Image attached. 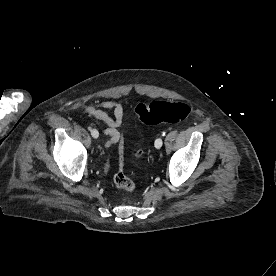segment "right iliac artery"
<instances>
[{
    "label": "right iliac artery",
    "instance_id": "obj_1",
    "mask_svg": "<svg viewBox=\"0 0 276 276\" xmlns=\"http://www.w3.org/2000/svg\"><path fill=\"white\" fill-rule=\"evenodd\" d=\"M88 129L91 131L92 130V128L91 127H88Z\"/></svg>",
    "mask_w": 276,
    "mask_h": 276
}]
</instances>
